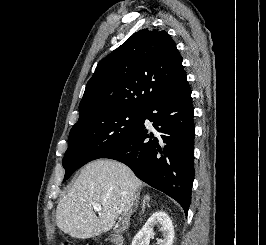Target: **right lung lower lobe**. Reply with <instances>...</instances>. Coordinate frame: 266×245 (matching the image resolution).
<instances>
[{"mask_svg":"<svg viewBox=\"0 0 266 245\" xmlns=\"http://www.w3.org/2000/svg\"><path fill=\"white\" fill-rule=\"evenodd\" d=\"M194 109L187 80L145 110L134 135L102 158L118 160L150 186L175 199L187 214L194 180ZM153 122V133L144 125Z\"/></svg>","mask_w":266,"mask_h":245,"instance_id":"98d812e1","label":"right lung lower lobe"}]
</instances>
